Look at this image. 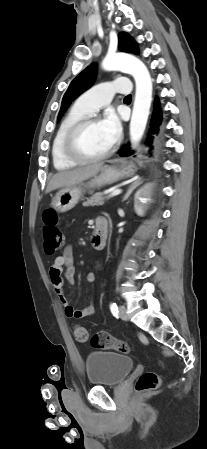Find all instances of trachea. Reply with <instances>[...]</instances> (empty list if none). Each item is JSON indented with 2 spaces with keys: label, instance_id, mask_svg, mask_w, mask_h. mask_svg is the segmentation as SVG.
<instances>
[{
  "label": "trachea",
  "instance_id": "1",
  "mask_svg": "<svg viewBox=\"0 0 207 449\" xmlns=\"http://www.w3.org/2000/svg\"><path fill=\"white\" fill-rule=\"evenodd\" d=\"M132 96L131 95H127L124 99H131Z\"/></svg>",
  "mask_w": 207,
  "mask_h": 449
}]
</instances>
